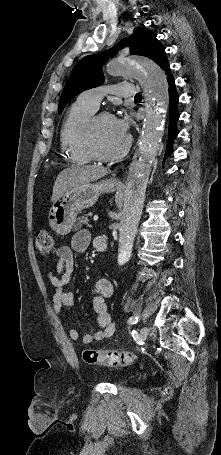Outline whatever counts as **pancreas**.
<instances>
[{"label":"pancreas","mask_w":221,"mask_h":455,"mask_svg":"<svg viewBox=\"0 0 221 455\" xmlns=\"http://www.w3.org/2000/svg\"><path fill=\"white\" fill-rule=\"evenodd\" d=\"M89 216H90V213L85 214V215L79 217V218H78V221H77V223H76V225H75V229L81 228V226H82L83 224H85V225H87V226H90V225H89V219H88Z\"/></svg>","instance_id":"cf45deb5"}]
</instances>
